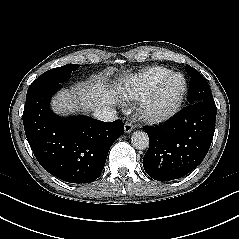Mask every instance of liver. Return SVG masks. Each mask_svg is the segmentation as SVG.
I'll use <instances>...</instances> for the list:
<instances>
[{"instance_id":"liver-1","label":"liver","mask_w":239,"mask_h":239,"mask_svg":"<svg viewBox=\"0 0 239 239\" xmlns=\"http://www.w3.org/2000/svg\"><path fill=\"white\" fill-rule=\"evenodd\" d=\"M106 80H97L95 83L78 85L70 91L64 90L57 94L52 101V108L56 113L69 114L78 109L95 111L99 108L116 105L122 97L120 86L108 87Z\"/></svg>"}]
</instances>
